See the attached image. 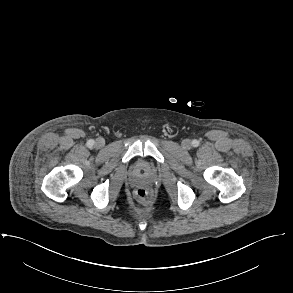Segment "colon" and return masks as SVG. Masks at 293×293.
<instances>
[{"label": "colon", "instance_id": "5ec220e1", "mask_svg": "<svg viewBox=\"0 0 293 293\" xmlns=\"http://www.w3.org/2000/svg\"><path fill=\"white\" fill-rule=\"evenodd\" d=\"M136 197L141 203L145 204L150 200V192L147 188L139 187L136 190Z\"/></svg>", "mask_w": 293, "mask_h": 293}]
</instances>
